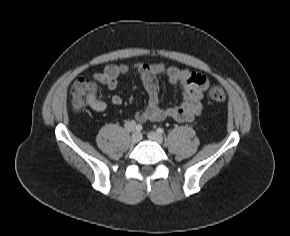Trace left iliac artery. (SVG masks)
Segmentation results:
<instances>
[{"label": "left iliac artery", "instance_id": "1", "mask_svg": "<svg viewBox=\"0 0 290 236\" xmlns=\"http://www.w3.org/2000/svg\"><path fill=\"white\" fill-rule=\"evenodd\" d=\"M157 132H158L159 134H163V133H164V129L159 127V128L157 129Z\"/></svg>", "mask_w": 290, "mask_h": 236}]
</instances>
